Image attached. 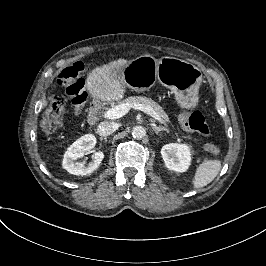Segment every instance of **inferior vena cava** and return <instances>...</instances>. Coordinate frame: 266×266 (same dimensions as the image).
<instances>
[{
	"instance_id": "602c4592",
	"label": "inferior vena cava",
	"mask_w": 266,
	"mask_h": 266,
	"mask_svg": "<svg viewBox=\"0 0 266 266\" xmlns=\"http://www.w3.org/2000/svg\"><path fill=\"white\" fill-rule=\"evenodd\" d=\"M116 130V124L108 121L101 122L97 127L100 136H109Z\"/></svg>"
}]
</instances>
